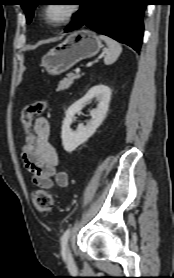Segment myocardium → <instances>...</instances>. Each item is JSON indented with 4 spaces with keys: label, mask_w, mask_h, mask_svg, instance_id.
<instances>
[{
    "label": "myocardium",
    "mask_w": 174,
    "mask_h": 278,
    "mask_svg": "<svg viewBox=\"0 0 174 278\" xmlns=\"http://www.w3.org/2000/svg\"><path fill=\"white\" fill-rule=\"evenodd\" d=\"M68 6V10L66 12V14L64 15V17H62L61 19L59 20H56V21H52L50 20L46 15H45V11H46V8L49 6V5H43L41 7V10H40V15H41V18L42 20L52 26V27H59V26H62L66 23H68L69 21H71L79 12L80 10V5L79 4H76V3H72V4H66Z\"/></svg>",
    "instance_id": "f54148a6"
}]
</instances>
